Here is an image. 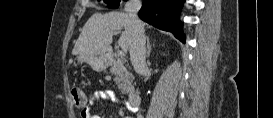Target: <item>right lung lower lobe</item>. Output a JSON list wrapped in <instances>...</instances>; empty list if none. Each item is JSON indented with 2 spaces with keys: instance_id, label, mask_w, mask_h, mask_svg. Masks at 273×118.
Here are the masks:
<instances>
[{
  "instance_id": "obj_1",
  "label": "right lung lower lobe",
  "mask_w": 273,
  "mask_h": 118,
  "mask_svg": "<svg viewBox=\"0 0 273 118\" xmlns=\"http://www.w3.org/2000/svg\"><path fill=\"white\" fill-rule=\"evenodd\" d=\"M183 2L184 0H143L138 15L143 21L161 30L172 32L176 38L185 42L182 23L178 20Z\"/></svg>"
}]
</instances>
